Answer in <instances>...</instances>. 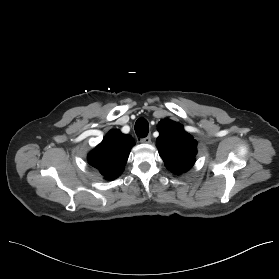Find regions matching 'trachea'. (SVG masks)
Wrapping results in <instances>:
<instances>
[{"label": "trachea", "instance_id": "trachea-1", "mask_svg": "<svg viewBox=\"0 0 279 279\" xmlns=\"http://www.w3.org/2000/svg\"><path fill=\"white\" fill-rule=\"evenodd\" d=\"M135 132L138 137L145 138L149 132V125L145 118H139L135 123Z\"/></svg>", "mask_w": 279, "mask_h": 279}]
</instances>
